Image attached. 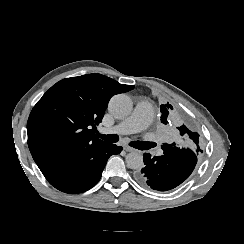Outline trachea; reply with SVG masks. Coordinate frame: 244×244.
I'll return each instance as SVG.
<instances>
[{
  "instance_id": "trachea-1",
  "label": "trachea",
  "mask_w": 244,
  "mask_h": 244,
  "mask_svg": "<svg viewBox=\"0 0 244 244\" xmlns=\"http://www.w3.org/2000/svg\"><path fill=\"white\" fill-rule=\"evenodd\" d=\"M97 136L101 139H103L106 142H110V143H115L118 142L119 140V136L117 134H109V135H104V134H100L98 133ZM130 146L140 149L141 147V141H131L129 143Z\"/></svg>"
}]
</instances>
